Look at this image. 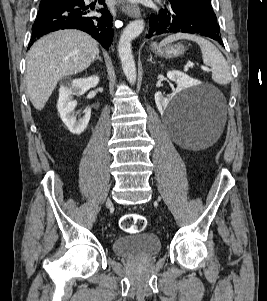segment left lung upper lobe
<instances>
[{
	"mask_svg": "<svg viewBox=\"0 0 267 301\" xmlns=\"http://www.w3.org/2000/svg\"><path fill=\"white\" fill-rule=\"evenodd\" d=\"M168 2H178L190 6L197 12L204 14L211 20H217L216 15L212 9L210 0H168Z\"/></svg>",
	"mask_w": 267,
	"mask_h": 301,
	"instance_id": "5c2ea615",
	"label": "left lung upper lobe"
}]
</instances>
